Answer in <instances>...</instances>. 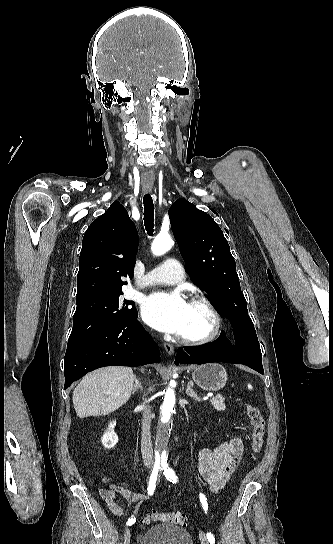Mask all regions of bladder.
Returning <instances> with one entry per match:
<instances>
[{
    "label": "bladder",
    "instance_id": "31cf9c89",
    "mask_svg": "<svg viewBox=\"0 0 333 544\" xmlns=\"http://www.w3.org/2000/svg\"><path fill=\"white\" fill-rule=\"evenodd\" d=\"M139 544H194L190 533L171 524L147 528L139 537Z\"/></svg>",
    "mask_w": 333,
    "mask_h": 544
}]
</instances>
